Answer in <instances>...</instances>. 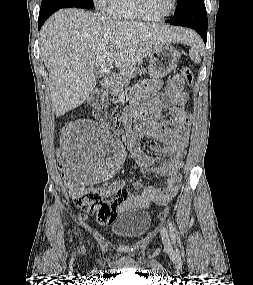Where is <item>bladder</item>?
Returning <instances> with one entry per match:
<instances>
[{
  "instance_id": "bladder-1",
  "label": "bladder",
  "mask_w": 253,
  "mask_h": 285,
  "mask_svg": "<svg viewBox=\"0 0 253 285\" xmlns=\"http://www.w3.org/2000/svg\"><path fill=\"white\" fill-rule=\"evenodd\" d=\"M151 226V215L145 209L124 210L112 223L111 233L121 239L134 240L142 237Z\"/></svg>"
}]
</instances>
